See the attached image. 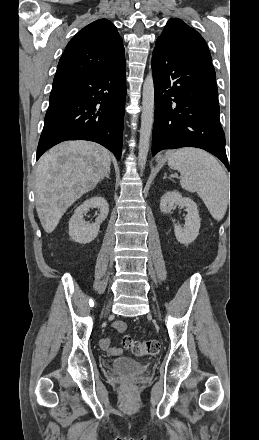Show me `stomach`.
Returning <instances> with one entry per match:
<instances>
[{
	"instance_id": "0dacf381",
	"label": "stomach",
	"mask_w": 259,
	"mask_h": 440,
	"mask_svg": "<svg viewBox=\"0 0 259 440\" xmlns=\"http://www.w3.org/2000/svg\"><path fill=\"white\" fill-rule=\"evenodd\" d=\"M157 161H158L159 163H161V164L164 163V159H163L162 156H159L158 159H157Z\"/></svg>"
}]
</instances>
